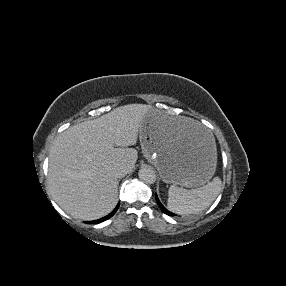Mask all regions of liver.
<instances>
[{
  "instance_id": "1",
  "label": "liver",
  "mask_w": 286,
  "mask_h": 286,
  "mask_svg": "<svg viewBox=\"0 0 286 286\" xmlns=\"http://www.w3.org/2000/svg\"><path fill=\"white\" fill-rule=\"evenodd\" d=\"M154 112L174 134L190 138L204 133L188 117H169L150 105L129 104L94 120L73 125L54 141L49 153L48 184L54 201L74 218L95 220L110 213L118 202V178L113 167L130 173L138 159L136 145L144 117Z\"/></svg>"
}]
</instances>
